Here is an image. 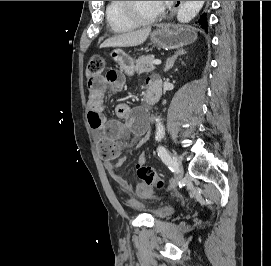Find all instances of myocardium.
Listing matches in <instances>:
<instances>
[{"instance_id": "1", "label": "myocardium", "mask_w": 271, "mask_h": 266, "mask_svg": "<svg viewBox=\"0 0 271 266\" xmlns=\"http://www.w3.org/2000/svg\"><path fill=\"white\" fill-rule=\"evenodd\" d=\"M121 9L123 15L135 25H149L155 23L160 20L164 14V10L161 9L156 15L144 18L135 11L133 1H121Z\"/></svg>"}]
</instances>
